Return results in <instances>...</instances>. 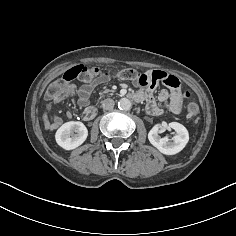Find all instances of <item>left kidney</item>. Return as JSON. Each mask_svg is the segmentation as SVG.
<instances>
[{"label":"left kidney","mask_w":236,"mask_h":236,"mask_svg":"<svg viewBox=\"0 0 236 236\" xmlns=\"http://www.w3.org/2000/svg\"><path fill=\"white\" fill-rule=\"evenodd\" d=\"M159 128H170L175 131L172 141L168 137H160ZM150 143L165 155H174L184 149L189 141V133L185 126L178 122L155 125L148 134Z\"/></svg>","instance_id":"left-kidney-1"}]
</instances>
